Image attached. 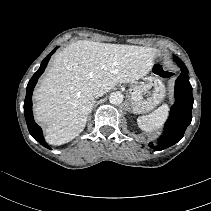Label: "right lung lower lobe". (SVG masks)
I'll return each instance as SVG.
<instances>
[{
    "label": "right lung lower lobe",
    "mask_w": 211,
    "mask_h": 211,
    "mask_svg": "<svg viewBox=\"0 0 211 211\" xmlns=\"http://www.w3.org/2000/svg\"><path fill=\"white\" fill-rule=\"evenodd\" d=\"M56 49H54L41 63L40 68L35 72L33 77L30 79L28 85H27V92L26 97L24 101V114L26 123L29 129V132L31 136L37 140L41 145H43L46 148L50 147L45 142V139L43 137L42 129L35 123L33 119V113H32V93L33 89L37 83L38 78L41 76V74L44 72L46 65L51 57V55L55 52Z\"/></svg>",
    "instance_id": "obj_1"
}]
</instances>
